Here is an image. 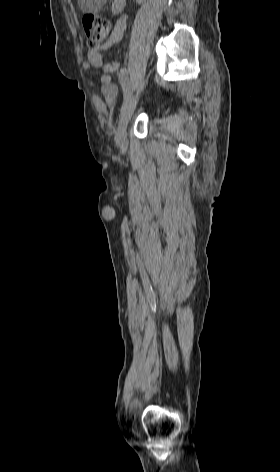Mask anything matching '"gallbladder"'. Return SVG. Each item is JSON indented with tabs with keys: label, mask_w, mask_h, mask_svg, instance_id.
<instances>
[{
	"label": "gallbladder",
	"mask_w": 280,
	"mask_h": 472,
	"mask_svg": "<svg viewBox=\"0 0 280 472\" xmlns=\"http://www.w3.org/2000/svg\"><path fill=\"white\" fill-rule=\"evenodd\" d=\"M106 0H78V6L83 13H98Z\"/></svg>",
	"instance_id": "obj_1"
}]
</instances>
